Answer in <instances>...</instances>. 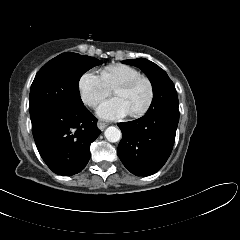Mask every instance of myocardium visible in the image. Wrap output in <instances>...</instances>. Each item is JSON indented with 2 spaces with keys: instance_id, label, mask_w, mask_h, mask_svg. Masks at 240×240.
<instances>
[{
  "instance_id": "1",
  "label": "myocardium",
  "mask_w": 240,
  "mask_h": 240,
  "mask_svg": "<svg viewBox=\"0 0 240 240\" xmlns=\"http://www.w3.org/2000/svg\"><path fill=\"white\" fill-rule=\"evenodd\" d=\"M141 82H144V83L147 84L148 89H149V96H148L147 102L145 103V105L141 109H139L137 111H134V112H131V115L134 116V117H140V116L145 115L150 110V108L153 104L154 97H155V90H154V85H153L152 81L150 80V78L141 75V76L136 77L134 79L125 81V82L117 85L114 88V92L117 89H131L135 85H137L138 83H141Z\"/></svg>"
}]
</instances>
